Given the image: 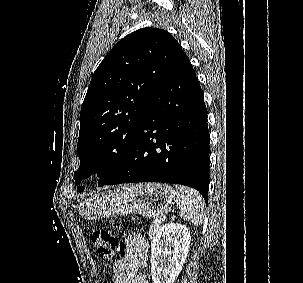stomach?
I'll return each mask as SVG.
<instances>
[{
	"label": "stomach",
	"instance_id": "obj_1",
	"mask_svg": "<svg viewBox=\"0 0 303 283\" xmlns=\"http://www.w3.org/2000/svg\"><path fill=\"white\" fill-rule=\"evenodd\" d=\"M176 201L173 188L162 183L136 184L80 200L77 204L82 217L88 220L141 214L146 218H159L172 209Z\"/></svg>",
	"mask_w": 303,
	"mask_h": 283
}]
</instances>
